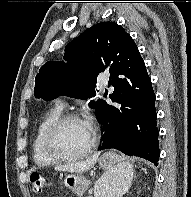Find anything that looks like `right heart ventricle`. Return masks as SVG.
Wrapping results in <instances>:
<instances>
[{"label": "right heart ventricle", "mask_w": 191, "mask_h": 197, "mask_svg": "<svg viewBox=\"0 0 191 197\" xmlns=\"http://www.w3.org/2000/svg\"><path fill=\"white\" fill-rule=\"evenodd\" d=\"M62 109L59 106L50 108L39 121L35 136L32 141V155L33 160L38 166H50L57 163L44 150L43 136L48 126L59 116H61Z\"/></svg>", "instance_id": "e07e8e85"}]
</instances>
